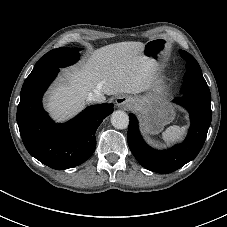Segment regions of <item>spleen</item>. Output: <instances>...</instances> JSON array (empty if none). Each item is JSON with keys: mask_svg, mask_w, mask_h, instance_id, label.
Listing matches in <instances>:
<instances>
[{"mask_svg": "<svg viewBox=\"0 0 227 227\" xmlns=\"http://www.w3.org/2000/svg\"><path fill=\"white\" fill-rule=\"evenodd\" d=\"M186 128V126H170L162 133V138L167 143H173L183 137Z\"/></svg>", "mask_w": 227, "mask_h": 227, "instance_id": "spleen-1", "label": "spleen"}]
</instances>
